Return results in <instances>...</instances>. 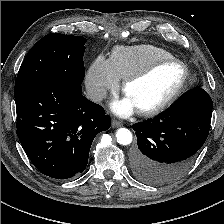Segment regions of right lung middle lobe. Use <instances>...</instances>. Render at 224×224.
Instances as JSON below:
<instances>
[{"mask_svg": "<svg viewBox=\"0 0 224 224\" xmlns=\"http://www.w3.org/2000/svg\"><path fill=\"white\" fill-rule=\"evenodd\" d=\"M86 39L82 36L48 34L39 40L24 59L15 82L17 100L24 92L44 83L81 85Z\"/></svg>", "mask_w": 224, "mask_h": 224, "instance_id": "right-lung-middle-lobe-1", "label": "right lung middle lobe"}]
</instances>
